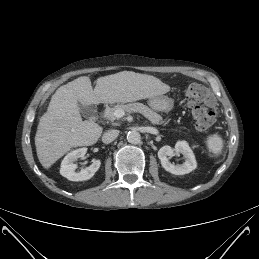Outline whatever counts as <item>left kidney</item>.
<instances>
[{"label":"left kidney","mask_w":259,"mask_h":259,"mask_svg":"<svg viewBox=\"0 0 259 259\" xmlns=\"http://www.w3.org/2000/svg\"><path fill=\"white\" fill-rule=\"evenodd\" d=\"M182 154L185 157V162L181 165H175L169 161V156L173 154ZM158 158L161 161L162 167L175 175H184L190 173L197 167L196 159L193 151L186 141H178L175 148L168 145L163 146L158 151Z\"/></svg>","instance_id":"obj_1"}]
</instances>
